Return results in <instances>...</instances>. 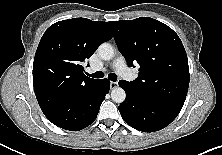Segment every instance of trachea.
I'll list each match as a JSON object with an SVG mask.
<instances>
[{
    "label": "trachea",
    "mask_w": 222,
    "mask_h": 155,
    "mask_svg": "<svg viewBox=\"0 0 222 155\" xmlns=\"http://www.w3.org/2000/svg\"><path fill=\"white\" fill-rule=\"evenodd\" d=\"M88 76H90V77H92V78H103V76H104V74H103V72H101V71H97V72H95V73H93V74H88ZM108 78L111 80V81H116L117 80V76L115 75V74H109L108 75Z\"/></svg>",
    "instance_id": "1"
}]
</instances>
